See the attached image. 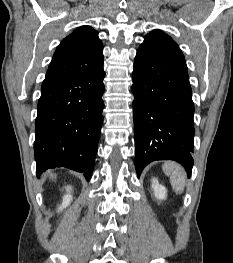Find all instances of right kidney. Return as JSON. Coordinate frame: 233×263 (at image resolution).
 Instances as JSON below:
<instances>
[{"label":"right kidney","mask_w":233,"mask_h":263,"mask_svg":"<svg viewBox=\"0 0 233 263\" xmlns=\"http://www.w3.org/2000/svg\"><path fill=\"white\" fill-rule=\"evenodd\" d=\"M66 191H67V194L63 197L62 205L59 207V210H63L64 208L69 206L73 199L71 195V191H72L71 186H67Z\"/></svg>","instance_id":"right-kidney-1"}]
</instances>
